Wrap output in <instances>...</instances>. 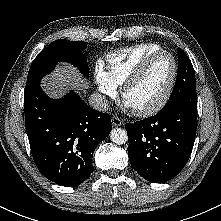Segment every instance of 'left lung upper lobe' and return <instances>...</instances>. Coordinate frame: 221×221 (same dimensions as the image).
I'll return each mask as SVG.
<instances>
[{
    "label": "left lung upper lobe",
    "mask_w": 221,
    "mask_h": 221,
    "mask_svg": "<svg viewBox=\"0 0 221 221\" xmlns=\"http://www.w3.org/2000/svg\"><path fill=\"white\" fill-rule=\"evenodd\" d=\"M178 53V73L172 94L161 109L166 111L174 105L183 101H197L195 73L189 57L181 50Z\"/></svg>",
    "instance_id": "left-lung-upper-lobe-1"
}]
</instances>
